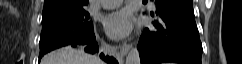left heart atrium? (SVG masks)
Wrapping results in <instances>:
<instances>
[{"label":"left heart atrium","instance_id":"1","mask_svg":"<svg viewBox=\"0 0 242 64\" xmlns=\"http://www.w3.org/2000/svg\"><path fill=\"white\" fill-rule=\"evenodd\" d=\"M105 28L112 38H124L133 28V16L130 10L123 8L111 13L105 21Z\"/></svg>","mask_w":242,"mask_h":64}]
</instances>
